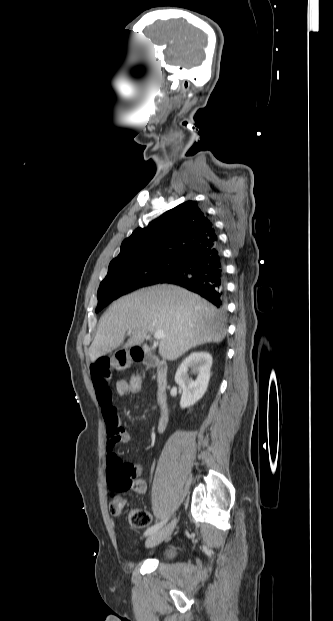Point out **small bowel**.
<instances>
[{"label":"small bowel","instance_id":"1","mask_svg":"<svg viewBox=\"0 0 333 621\" xmlns=\"http://www.w3.org/2000/svg\"><path fill=\"white\" fill-rule=\"evenodd\" d=\"M110 357L107 355H101L91 366V377L95 388L97 400L102 410L104 422L106 424L107 431V465L108 470L111 467L121 465L131 469V478L133 480L132 490L136 493L142 494L146 491V483L138 478L141 472V465L123 462L115 447L118 444L126 443L130 436L126 429L121 425L120 418L113 401V391L111 389V371H110ZM116 393L119 395L127 394L125 380H120L116 383ZM121 499L116 494L111 495L110 503Z\"/></svg>","mask_w":333,"mask_h":621}]
</instances>
